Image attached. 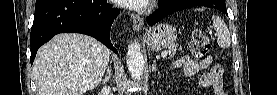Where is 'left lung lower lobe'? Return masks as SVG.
<instances>
[{
  "label": "left lung lower lobe",
  "instance_id": "0a47b994",
  "mask_svg": "<svg viewBox=\"0 0 277 95\" xmlns=\"http://www.w3.org/2000/svg\"><path fill=\"white\" fill-rule=\"evenodd\" d=\"M209 1V0H205ZM202 0H161L159 9H157L152 15L147 17V23L150 26H153L155 23L162 20L167 15L174 13L176 11L193 7V6H201ZM217 9V8H216ZM218 10L227 14L226 5L224 1V6L219 8Z\"/></svg>",
  "mask_w": 277,
  "mask_h": 95
}]
</instances>
